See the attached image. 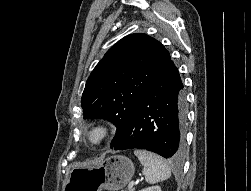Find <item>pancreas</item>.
<instances>
[{
    "label": "pancreas",
    "mask_w": 251,
    "mask_h": 191,
    "mask_svg": "<svg viewBox=\"0 0 251 191\" xmlns=\"http://www.w3.org/2000/svg\"><path fill=\"white\" fill-rule=\"evenodd\" d=\"M123 191H134V189H123Z\"/></svg>",
    "instance_id": "cf45deb5"
}]
</instances>
